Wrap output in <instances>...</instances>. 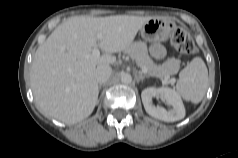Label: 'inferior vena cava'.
<instances>
[{
	"instance_id": "602c4592",
	"label": "inferior vena cava",
	"mask_w": 238,
	"mask_h": 158,
	"mask_svg": "<svg viewBox=\"0 0 238 158\" xmlns=\"http://www.w3.org/2000/svg\"><path fill=\"white\" fill-rule=\"evenodd\" d=\"M112 69L108 64H99L96 68V79L100 84H105L111 76Z\"/></svg>"
}]
</instances>
